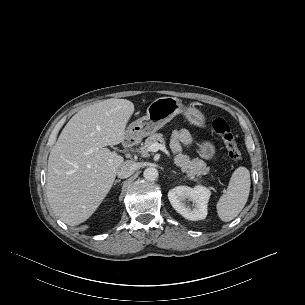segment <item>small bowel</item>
<instances>
[{"mask_svg":"<svg viewBox=\"0 0 305 305\" xmlns=\"http://www.w3.org/2000/svg\"><path fill=\"white\" fill-rule=\"evenodd\" d=\"M192 137L187 130H177L172 135L171 146L176 154H180L185 147L192 144Z\"/></svg>","mask_w":305,"mask_h":305,"instance_id":"1","label":"small bowel"}]
</instances>
